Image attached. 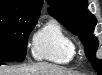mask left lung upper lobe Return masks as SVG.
I'll list each match as a JSON object with an SVG mask.
<instances>
[{"label": "left lung upper lobe", "mask_w": 102, "mask_h": 75, "mask_svg": "<svg viewBox=\"0 0 102 75\" xmlns=\"http://www.w3.org/2000/svg\"><path fill=\"white\" fill-rule=\"evenodd\" d=\"M49 13L60 21L69 31L77 35L85 46L86 56L93 68L102 73V61L95 58L98 47L93 35L96 18L87 9V0H46Z\"/></svg>", "instance_id": "1"}]
</instances>
